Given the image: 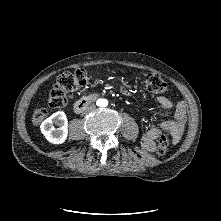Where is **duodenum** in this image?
<instances>
[{
	"instance_id": "410a0bca",
	"label": "duodenum",
	"mask_w": 221,
	"mask_h": 221,
	"mask_svg": "<svg viewBox=\"0 0 221 221\" xmlns=\"http://www.w3.org/2000/svg\"><path fill=\"white\" fill-rule=\"evenodd\" d=\"M98 94H90L85 97H82L80 100H78L74 106L73 110L75 113L82 112L87 106H89L93 101H95L98 98Z\"/></svg>"
}]
</instances>
